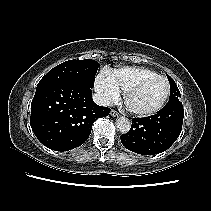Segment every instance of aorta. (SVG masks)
I'll use <instances>...</instances> for the list:
<instances>
[{"label":"aorta","instance_id":"obj_1","mask_svg":"<svg viewBox=\"0 0 211 211\" xmlns=\"http://www.w3.org/2000/svg\"><path fill=\"white\" fill-rule=\"evenodd\" d=\"M116 127L121 133H127L131 128V123L127 118L119 117L116 119Z\"/></svg>","mask_w":211,"mask_h":211}]
</instances>
